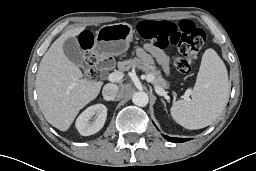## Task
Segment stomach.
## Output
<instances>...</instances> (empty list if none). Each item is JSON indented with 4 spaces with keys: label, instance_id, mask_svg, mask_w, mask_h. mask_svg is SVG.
I'll use <instances>...</instances> for the list:
<instances>
[{
    "label": "stomach",
    "instance_id": "0dacf381",
    "mask_svg": "<svg viewBox=\"0 0 256 171\" xmlns=\"http://www.w3.org/2000/svg\"><path fill=\"white\" fill-rule=\"evenodd\" d=\"M133 27L128 23L102 26L96 32L93 53L98 59L124 54L133 40Z\"/></svg>",
    "mask_w": 256,
    "mask_h": 171
}]
</instances>
